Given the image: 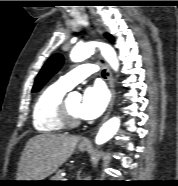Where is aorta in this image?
Wrapping results in <instances>:
<instances>
[{
  "label": "aorta",
  "instance_id": "obj_1",
  "mask_svg": "<svg viewBox=\"0 0 178 186\" xmlns=\"http://www.w3.org/2000/svg\"><path fill=\"white\" fill-rule=\"evenodd\" d=\"M96 47L101 50L102 56L110 64L113 70L117 71L119 68V62L116 56L115 50L108 44L90 41L76 45L71 53L70 58L73 62H81L90 57ZM120 127V119L118 117H112L105 122L98 131L95 142L97 145H102L116 134Z\"/></svg>",
  "mask_w": 178,
  "mask_h": 186
}]
</instances>
